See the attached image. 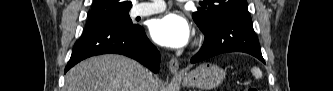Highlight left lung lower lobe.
I'll return each instance as SVG.
<instances>
[{"label":"left lung lower lobe","mask_w":333,"mask_h":91,"mask_svg":"<svg viewBox=\"0 0 333 91\" xmlns=\"http://www.w3.org/2000/svg\"><path fill=\"white\" fill-rule=\"evenodd\" d=\"M204 35V44L192 57L191 63L228 52H245L264 62L249 13L224 16L204 32Z\"/></svg>","instance_id":"obj_1"}]
</instances>
